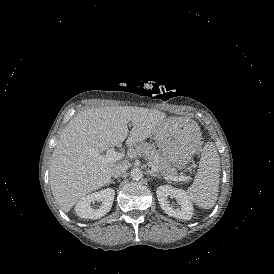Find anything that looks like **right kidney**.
I'll return each instance as SVG.
<instances>
[{
    "label": "right kidney",
    "mask_w": 274,
    "mask_h": 274,
    "mask_svg": "<svg viewBox=\"0 0 274 274\" xmlns=\"http://www.w3.org/2000/svg\"><path fill=\"white\" fill-rule=\"evenodd\" d=\"M115 191L112 188H106L82 198L76 205V214L83 219H99L105 216L111 209ZM101 202L100 206L94 208L91 204Z\"/></svg>",
    "instance_id": "1"
}]
</instances>
